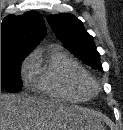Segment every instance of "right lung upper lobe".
<instances>
[{"label": "right lung upper lobe", "instance_id": "1", "mask_svg": "<svg viewBox=\"0 0 123 130\" xmlns=\"http://www.w3.org/2000/svg\"><path fill=\"white\" fill-rule=\"evenodd\" d=\"M45 33L44 19L35 11L25 12L21 16L5 17L1 23V57L29 54Z\"/></svg>", "mask_w": 123, "mask_h": 130}]
</instances>
